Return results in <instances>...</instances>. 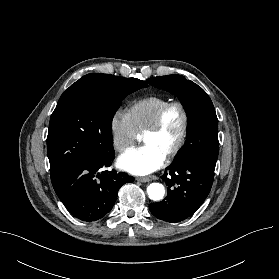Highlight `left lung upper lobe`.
I'll return each instance as SVG.
<instances>
[{"instance_id":"5c2ea615","label":"left lung upper lobe","mask_w":279,"mask_h":279,"mask_svg":"<svg viewBox=\"0 0 279 279\" xmlns=\"http://www.w3.org/2000/svg\"><path fill=\"white\" fill-rule=\"evenodd\" d=\"M147 81L176 95L186 110L187 139L172 164L194 162L214 170L219 152L218 119L207 93L182 75L153 77Z\"/></svg>"}]
</instances>
